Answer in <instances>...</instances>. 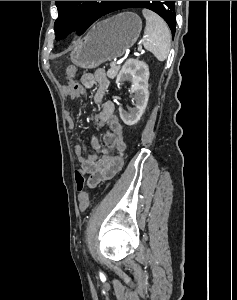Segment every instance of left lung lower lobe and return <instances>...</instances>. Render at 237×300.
I'll use <instances>...</instances> for the list:
<instances>
[{
	"label": "left lung lower lobe",
	"instance_id": "left-lung-lower-lobe-1",
	"mask_svg": "<svg viewBox=\"0 0 237 300\" xmlns=\"http://www.w3.org/2000/svg\"><path fill=\"white\" fill-rule=\"evenodd\" d=\"M167 1H161V4H165ZM122 1H112V3L108 6L107 10H106V14L110 13V12H114L116 10H120V6L122 5ZM175 32L173 33L174 36Z\"/></svg>",
	"mask_w": 237,
	"mask_h": 300
}]
</instances>
